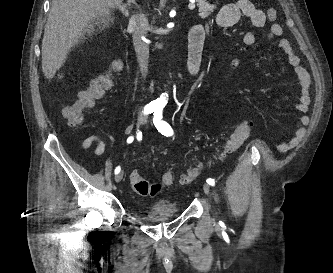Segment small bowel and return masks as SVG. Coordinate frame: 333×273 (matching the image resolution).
<instances>
[{
    "label": "small bowel",
    "instance_id": "1",
    "mask_svg": "<svg viewBox=\"0 0 333 273\" xmlns=\"http://www.w3.org/2000/svg\"><path fill=\"white\" fill-rule=\"evenodd\" d=\"M241 16H245L249 19L252 26L256 28H262L267 22L266 14L264 11L257 9L249 0H237L235 2L226 4L217 14L215 24L219 28H229L238 24ZM202 26V25H201ZM203 27V26H202ZM204 28V27H203ZM269 34L271 38H279V47L287 55L289 64L293 67L300 83L301 100L298 106V110L305 112L310 101L309 89H308V74L306 70L300 64V58L294 53L290 42L282 37L283 31L279 24L272 23L269 28ZM243 43L247 46H252L256 42V38L252 32H245L243 34ZM241 64L239 58H233L230 62V69L232 72H236ZM93 106V105H92ZM308 117L304 115L301 119L302 123L306 122ZM249 123V122H248ZM251 124V123H250ZM252 125V124H251ZM303 134V129L300 124L296 126L295 136L281 145L282 149H293ZM95 146V154L102 156L105 153V142L98 135L88 136L81 145L83 150H87L90 147Z\"/></svg>",
    "mask_w": 333,
    "mask_h": 273
}]
</instances>
